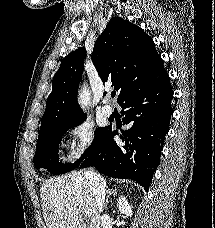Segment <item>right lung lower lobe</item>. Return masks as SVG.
Instances as JSON below:
<instances>
[{
	"mask_svg": "<svg viewBox=\"0 0 215 228\" xmlns=\"http://www.w3.org/2000/svg\"><path fill=\"white\" fill-rule=\"evenodd\" d=\"M172 96L168 74L131 86L120 104L122 110H126L123 112V124L130 126L120 133L124 143L114 141V136L119 133L111 126L103 142L80 168L95 166L105 175L133 179L148 190L169 131Z\"/></svg>",
	"mask_w": 215,
	"mask_h": 228,
	"instance_id": "right-lung-lower-lobe-1",
	"label": "right lung lower lobe"
}]
</instances>
